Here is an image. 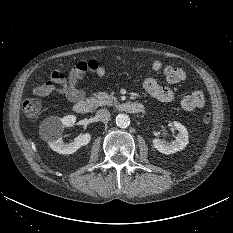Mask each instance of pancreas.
I'll return each instance as SVG.
<instances>
[{
  "mask_svg": "<svg viewBox=\"0 0 233 233\" xmlns=\"http://www.w3.org/2000/svg\"><path fill=\"white\" fill-rule=\"evenodd\" d=\"M94 96L96 97L97 104L100 106L117 104V99L105 92L95 93Z\"/></svg>",
  "mask_w": 233,
  "mask_h": 233,
  "instance_id": "obj_1",
  "label": "pancreas"
}]
</instances>
